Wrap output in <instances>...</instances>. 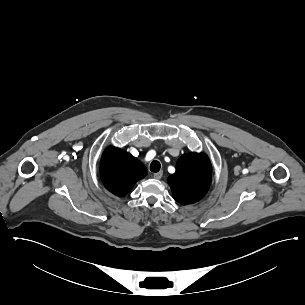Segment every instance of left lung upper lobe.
<instances>
[{
  "label": "left lung upper lobe",
  "instance_id": "obj_1",
  "mask_svg": "<svg viewBox=\"0 0 305 305\" xmlns=\"http://www.w3.org/2000/svg\"><path fill=\"white\" fill-rule=\"evenodd\" d=\"M211 171L206 154L182 155L177 161L176 172L168 178L173 198L183 205L198 202L209 189Z\"/></svg>",
  "mask_w": 305,
  "mask_h": 305
}]
</instances>
